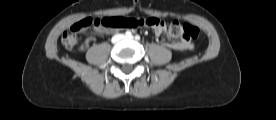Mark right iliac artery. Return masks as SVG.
Here are the masks:
<instances>
[{
    "label": "right iliac artery",
    "instance_id": "right-iliac-artery-1",
    "mask_svg": "<svg viewBox=\"0 0 276 120\" xmlns=\"http://www.w3.org/2000/svg\"><path fill=\"white\" fill-rule=\"evenodd\" d=\"M125 35H126L127 38H129V37L132 36V33L130 31H126Z\"/></svg>",
    "mask_w": 276,
    "mask_h": 120
}]
</instances>
